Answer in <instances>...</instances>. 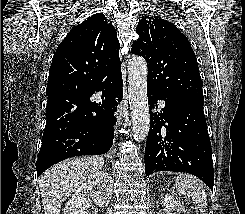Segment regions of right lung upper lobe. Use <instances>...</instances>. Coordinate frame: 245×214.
Returning <instances> with one entry per match:
<instances>
[{
	"label": "right lung upper lobe",
	"instance_id": "cb5924a9",
	"mask_svg": "<svg viewBox=\"0 0 245 214\" xmlns=\"http://www.w3.org/2000/svg\"><path fill=\"white\" fill-rule=\"evenodd\" d=\"M121 73L119 41L102 13L72 28L57 47L49 69L46 94H64L80 102L106 78Z\"/></svg>",
	"mask_w": 245,
	"mask_h": 214
}]
</instances>
